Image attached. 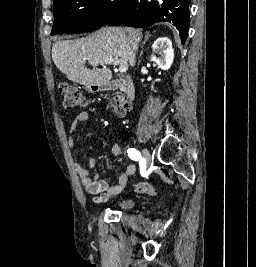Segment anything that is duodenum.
Here are the masks:
<instances>
[{
    "label": "duodenum",
    "instance_id": "410a0bca",
    "mask_svg": "<svg viewBox=\"0 0 256 267\" xmlns=\"http://www.w3.org/2000/svg\"><path fill=\"white\" fill-rule=\"evenodd\" d=\"M86 94H99V90H122L128 99L136 97V87L132 77L125 76L113 79L112 81H92V85H83Z\"/></svg>",
    "mask_w": 256,
    "mask_h": 267
}]
</instances>
